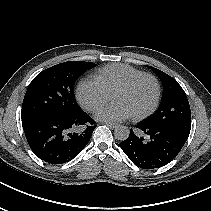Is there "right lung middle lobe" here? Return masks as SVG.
Masks as SVG:
<instances>
[{"label":"right lung middle lobe","instance_id":"obj_1","mask_svg":"<svg viewBox=\"0 0 211 211\" xmlns=\"http://www.w3.org/2000/svg\"><path fill=\"white\" fill-rule=\"evenodd\" d=\"M96 64L68 61L39 73L30 83L22 104V120L81 113L74 96V84L81 74Z\"/></svg>","mask_w":211,"mask_h":211}]
</instances>
